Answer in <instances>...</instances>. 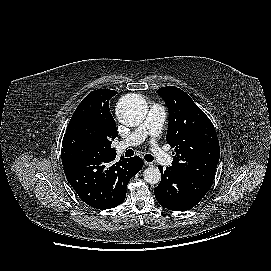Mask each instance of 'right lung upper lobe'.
I'll return each instance as SVG.
<instances>
[{
  "label": "right lung upper lobe",
  "mask_w": 271,
  "mask_h": 271,
  "mask_svg": "<svg viewBox=\"0 0 271 271\" xmlns=\"http://www.w3.org/2000/svg\"><path fill=\"white\" fill-rule=\"evenodd\" d=\"M117 92L109 89H98L89 93L78 105L72 120L84 116L90 119H100L104 123V139L102 140L100 154L116 155L114 148H111L112 140L118 136L115 121L109 112V100Z\"/></svg>",
  "instance_id": "cb5924a9"
}]
</instances>
